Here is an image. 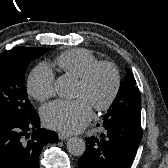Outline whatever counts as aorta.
Segmentation results:
<instances>
[{"label":"aorta","mask_w":168,"mask_h":168,"mask_svg":"<svg viewBox=\"0 0 168 168\" xmlns=\"http://www.w3.org/2000/svg\"><path fill=\"white\" fill-rule=\"evenodd\" d=\"M76 83L74 79L68 76H60L54 84V88L58 96L69 98L75 92ZM86 149L85 141L79 137H72L67 142V150L73 156L83 155Z\"/></svg>","instance_id":"aorta-1"}]
</instances>
